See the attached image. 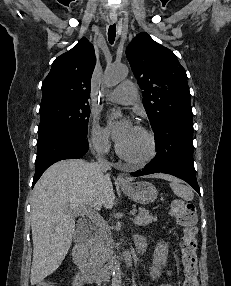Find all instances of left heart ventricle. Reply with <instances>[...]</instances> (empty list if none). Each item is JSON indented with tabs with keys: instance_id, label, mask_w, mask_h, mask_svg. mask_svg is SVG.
I'll return each instance as SVG.
<instances>
[{
	"instance_id": "obj_1",
	"label": "left heart ventricle",
	"mask_w": 231,
	"mask_h": 286,
	"mask_svg": "<svg viewBox=\"0 0 231 286\" xmlns=\"http://www.w3.org/2000/svg\"><path fill=\"white\" fill-rule=\"evenodd\" d=\"M119 145L126 155L133 158H140L149 150L148 139L136 128H134L129 137Z\"/></svg>"
}]
</instances>
